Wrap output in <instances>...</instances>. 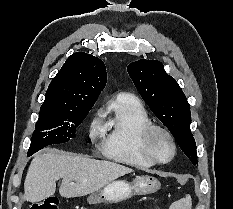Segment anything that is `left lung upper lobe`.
Here are the masks:
<instances>
[{
	"label": "left lung upper lobe",
	"instance_id": "left-lung-upper-lobe-1",
	"mask_svg": "<svg viewBox=\"0 0 233 209\" xmlns=\"http://www.w3.org/2000/svg\"><path fill=\"white\" fill-rule=\"evenodd\" d=\"M127 71L143 100L196 165V143L190 130V105L176 80L165 72L163 64L157 60L132 62Z\"/></svg>",
	"mask_w": 233,
	"mask_h": 209
}]
</instances>
